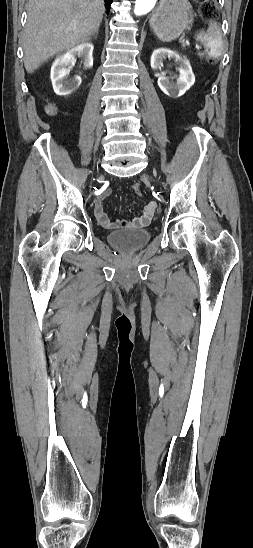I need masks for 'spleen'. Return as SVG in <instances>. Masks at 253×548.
I'll list each match as a JSON object with an SVG mask.
<instances>
[{
  "instance_id": "3e777b00",
  "label": "spleen",
  "mask_w": 253,
  "mask_h": 548,
  "mask_svg": "<svg viewBox=\"0 0 253 548\" xmlns=\"http://www.w3.org/2000/svg\"><path fill=\"white\" fill-rule=\"evenodd\" d=\"M197 40L202 42L207 50V54L211 58L218 59L223 52V41L219 27L216 22L212 21L206 32L201 31L197 35Z\"/></svg>"
}]
</instances>
